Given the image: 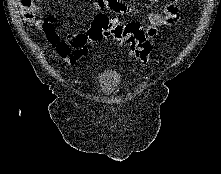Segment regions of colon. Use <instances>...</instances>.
Returning <instances> with one entry per match:
<instances>
[{
  "label": "colon",
  "instance_id": "obj_1",
  "mask_svg": "<svg viewBox=\"0 0 221 174\" xmlns=\"http://www.w3.org/2000/svg\"><path fill=\"white\" fill-rule=\"evenodd\" d=\"M40 0H19V7L26 22H34ZM90 41L112 38L116 43L125 44L129 53L143 63L150 59L151 45L143 26L137 21L123 23L106 14H98L85 33Z\"/></svg>",
  "mask_w": 221,
  "mask_h": 174
}]
</instances>
